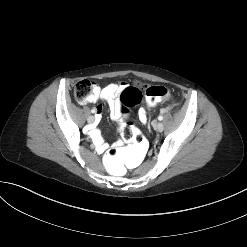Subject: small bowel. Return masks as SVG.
I'll return each mask as SVG.
<instances>
[{"label":"small bowel","instance_id":"small-bowel-1","mask_svg":"<svg viewBox=\"0 0 247 247\" xmlns=\"http://www.w3.org/2000/svg\"><path fill=\"white\" fill-rule=\"evenodd\" d=\"M127 88L125 82L120 83H110L105 87L101 88L96 84H93L92 93L84 103H94L98 100L105 101L110 109V114L113 119H118L121 116L119 96L122 91ZM98 112L97 118H101L100 110ZM139 120L142 123L147 122V113L144 108H141L138 112ZM90 135L93 138L97 151L103 153L107 149V145L103 142L102 137L99 131L95 128L90 130ZM120 142H117L116 145H120Z\"/></svg>","mask_w":247,"mask_h":247}]
</instances>
